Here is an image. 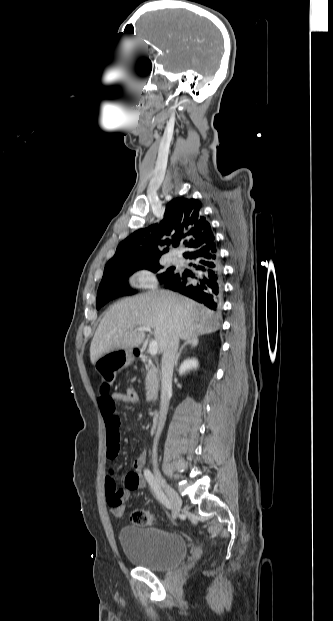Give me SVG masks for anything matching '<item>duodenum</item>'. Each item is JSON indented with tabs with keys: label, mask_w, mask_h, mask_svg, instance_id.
Wrapping results in <instances>:
<instances>
[{
	"label": "duodenum",
	"mask_w": 333,
	"mask_h": 621,
	"mask_svg": "<svg viewBox=\"0 0 333 621\" xmlns=\"http://www.w3.org/2000/svg\"><path fill=\"white\" fill-rule=\"evenodd\" d=\"M136 356H137L139 359H143V358H144V354H143L142 352H140V351H137V352H136ZM156 429H157V419H156V418H154L153 423H152V426H151V433H154V432L156 431Z\"/></svg>",
	"instance_id": "410a0bca"
}]
</instances>
